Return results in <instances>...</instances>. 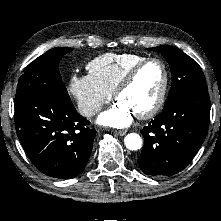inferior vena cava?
Listing matches in <instances>:
<instances>
[{"label": "inferior vena cava", "instance_id": "obj_1", "mask_svg": "<svg viewBox=\"0 0 221 221\" xmlns=\"http://www.w3.org/2000/svg\"><path fill=\"white\" fill-rule=\"evenodd\" d=\"M100 110L101 107L99 105H87L81 109V113L86 117H90L98 113Z\"/></svg>", "mask_w": 221, "mask_h": 221}]
</instances>
